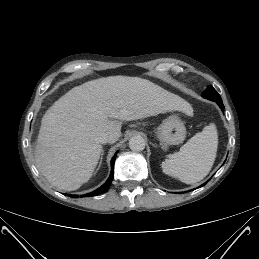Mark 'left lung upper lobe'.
Segmentation results:
<instances>
[{"mask_svg": "<svg viewBox=\"0 0 259 259\" xmlns=\"http://www.w3.org/2000/svg\"><path fill=\"white\" fill-rule=\"evenodd\" d=\"M202 96L206 99H209L215 102L222 100L219 93L212 86H208V88L204 91Z\"/></svg>", "mask_w": 259, "mask_h": 259, "instance_id": "5c2ea615", "label": "left lung upper lobe"}]
</instances>
